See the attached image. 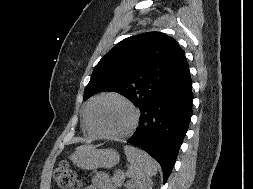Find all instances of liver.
<instances>
[{
	"label": "liver",
	"mask_w": 253,
	"mask_h": 189,
	"mask_svg": "<svg viewBox=\"0 0 253 189\" xmlns=\"http://www.w3.org/2000/svg\"><path fill=\"white\" fill-rule=\"evenodd\" d=\"M90 147H92V146L82 145V146L77 147V148H76V151H77V150L86 149V148H90Z\"/></svg>",
	"instance_id": "obj_1"
}]
</instances>
